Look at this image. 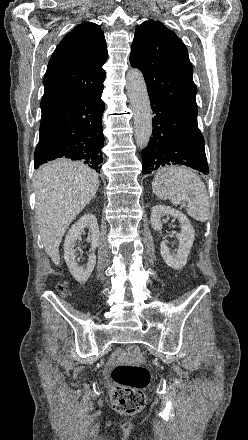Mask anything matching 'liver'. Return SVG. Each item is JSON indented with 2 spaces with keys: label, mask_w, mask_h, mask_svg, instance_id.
I'll return each mask as SVG.
<instances>
[{
  "label": "liver",
  "mask_w": 248,
  "mask_h": 440,
  "mask_svg": "<svg viewBox=\"0 0 248 440\" xmlns=\"http://www.w3.org/2000/svg\"><path fill=\"white\" fill-rule=\"evenodd\" d=\"M98 186V174L79 161L63 158L36 171V220L45 251L56 265L60 264L59 246L68 226L91 201Z\"/></svg>",
  "instance_id": "obj_1"
}]
</instances>
